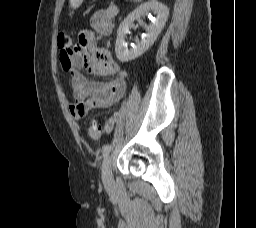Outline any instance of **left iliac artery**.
I'll return each instance as SVG.
<instances>
[{"mask_svg": "<svg viewBox=\"0 0 256 228\" xmlns=\"http://www.w3.org/2000/svg\"><path fill=\"white\" fill-rule=\"evenodd\" d=\"M111 151V145L107 144L103 147V157L108 156Z\"/></svg>", "mask_w": 256, "mask_h": 228, "instance_id": "left-iliac-artery-1", "label": "left iliac artery"}]
</instances>
